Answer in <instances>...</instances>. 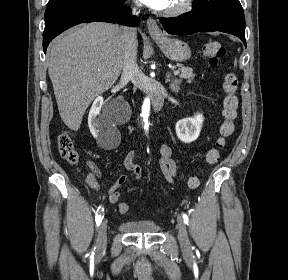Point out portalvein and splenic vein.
Instances as JSON below:
<instances>
[{"instance_id":"1","label":"portal vein and splenic vein","mask_w":288,"mask_h":280,"mask_svg":"<svg viewBox=\"0 0 288 280\" xmlns=\"http://www.w3.org/2000/svg\"><path fill=\"white\" fill-rule=\"evenodd\" d=\"M180 73L179 70H174V75H178Z\"/></svg>"}]
</instances>
